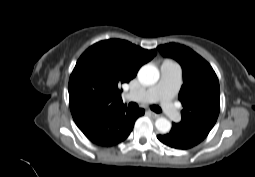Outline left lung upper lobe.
Instances as JSON below:
<instances>
[{
  "instance_id": "5c2ea615",
  "label": "left lung upper lobe",
  "mask_w": 255,
  "mask_h": 177,
  "mask_svg": "<svg viewBox=\"0 0 255 177\" xmlns=\"http://www.w3.org/2000/svg\"><path fill=\"white\" fill-rule=\"evenodd\" d=\"M157 49L182 67L183 85L178 98L184 109L178 124L206 138L220 111V87L214 70L206 60L184 45L169 43Z\"/></svg>"
}]
</instances>
